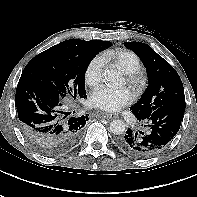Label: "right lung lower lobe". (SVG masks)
I'll return each instance as SVG.
<instances>
[{
    "mask_svg": "<svg viewBox=\"0 0 197 197\" xmlns=\"http://www.w3.org/2000/svg\"><path fill=\"white\" fill-rule=\"evenodd\" d=\"M15 106L24 135L54 153L75 145L88 121L87 115L70 116L56 90L38 80L20 78Z\"/></svg>",
    "mask_w": 197,
    "mask_h": 197,
    "instance_id": "obj_1",
    "label": "right lung lower lobe"
}]
</instances>
